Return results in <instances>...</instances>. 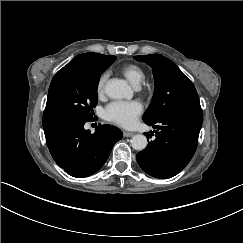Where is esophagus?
Masks as SVG:
<instances>
[{
  "instance_id": "esophagus-1",
  "label": "esophagus",
  "mask_w": 243,
  "mask_h": 243,
  "mask_svg": "<svg viewBox=\"0 0 243 243\" xmlns=\"http://www.w3.org/2000/svg\"><path fill=\"white\" fill-rule=\"evenodd\" d=\"M133 135H134L133 132H127V131H124V132H123V136H124V137H132Z\"/></svg>"
}]
</instances>
